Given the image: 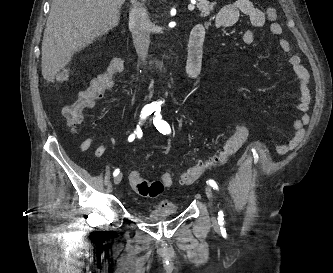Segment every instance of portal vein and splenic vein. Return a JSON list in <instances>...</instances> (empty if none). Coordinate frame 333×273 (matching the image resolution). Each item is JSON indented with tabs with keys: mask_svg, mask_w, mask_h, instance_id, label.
<instances>
[{
	"mask_svg": "<svg viewBox=\"0 0 333 273\" xmlns=\"http://www.w3.org/2000/svg\"><path fill=\"white\" fill-rule=\"evenodd\" d=\"M194 8H195V6H194L193 4H190V5L188 6V9H189L190 11H193Z\"/></svg>",
	"mask_w": 333,
	"mask_h": 273,
	"instance_id": "obj_1",
	"label": "portal vein and splenic vein"
}]
</instances>
